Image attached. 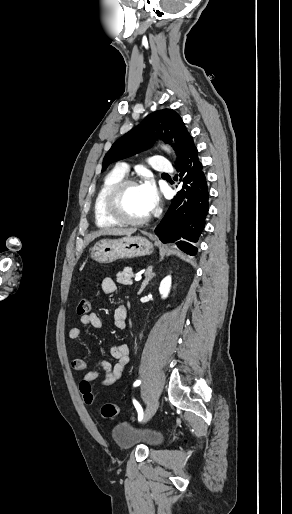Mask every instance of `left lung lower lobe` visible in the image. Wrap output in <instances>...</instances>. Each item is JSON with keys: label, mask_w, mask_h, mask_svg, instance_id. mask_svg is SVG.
Wrapping results in <instances>:
<instances>
[{"label": "left lung lower lobe", "mask_w": 292, "mask_h": 514, "mask_svg": "<svg viewBox=\"0 0 292 514\" xmlns=\"http://www.w3.org/2000/svg\"><path fill=\"white\" fill-rule=\"evenodd\" d=\"M182 189L172 200L165 217L155 229L156 235L164 242H175L179 249L189 255H196L205 219L209 210V190L203 166L194 144L189 145L181 162L176 165Z\"/></svg>", "instance_id": "obj_1"}]
</instances>
